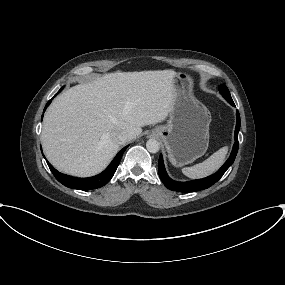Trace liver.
<instances>
[{"label":"liver","mask_w":285,"mask_h":285,"mask_svg":"<svg viewBox=\"0 0 285 285\" xmlns=\"http://www.w3.org/2000/svg\"><path fill=\"white\" fill-rule=\"evenodd\" d=\"M173 70L115 72L76 85L48 108L42 145L59 171L79 177L101 172L119 150L113 133L137 138L142 127L166 119L176 91Z\"/></svg>","instance_id":"obj_1"}]
</instances>
